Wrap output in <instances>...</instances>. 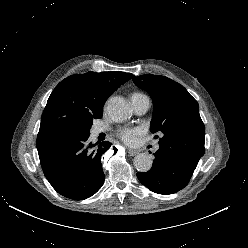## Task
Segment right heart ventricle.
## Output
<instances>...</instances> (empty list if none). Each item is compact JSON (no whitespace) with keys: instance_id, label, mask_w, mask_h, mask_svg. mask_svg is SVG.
<instances>
[{"instance_id":"obj_1","label":"right heart ventricle","mask_w":248,"mask_h":248,"mask_svg":"<svg viewBox=\"0 0 248 248\" xmlns=\"http://www.w3.org/2000/svg\"><path fill=\"white\" fill-rule=\"evenodd\" d=\"M133 95H141L140 93H134Z\"/></svg>"}]
</instances>
